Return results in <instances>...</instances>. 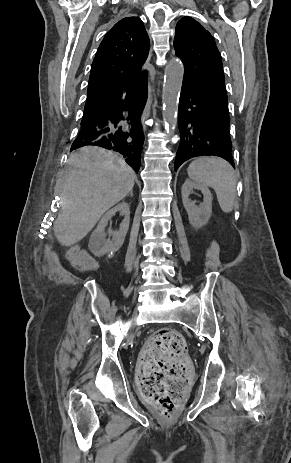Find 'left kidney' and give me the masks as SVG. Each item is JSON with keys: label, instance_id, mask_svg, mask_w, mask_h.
Listing matches in <instances>:
<instances>
[{"label": "left kidney", "instance_id": "obj_1", "mask_svg": "<svg viewBox=\"0 0 291 463\" xmlns=\"http://www.w3.org/2000/svg\"><path fill=\"white\" fill-rule=\"evenodd\" d=\"M194 189L200 190L204 195L203 203L200 206L195 205L189 199V195L193 193ZM182 201L188 213L189 222L194 228L199 229L207 224L212 214V194L207 187L186 180L182 185Z\"/></svg>", "mask_w": 291, "mask_h": 463}]
</instances>
